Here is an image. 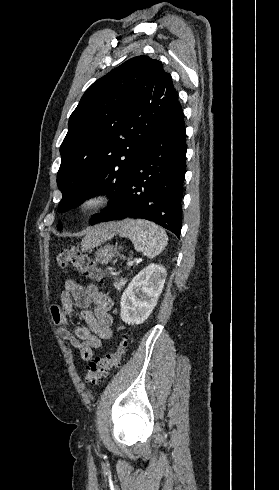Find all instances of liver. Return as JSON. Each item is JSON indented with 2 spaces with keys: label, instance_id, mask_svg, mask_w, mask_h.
<instances>
[{
  "label": "liver",
  "instance_id": "obj_1",
  "mask_svg": "<svg viewBox=\"0 0 279 490\" xmlns=\"http://www.w3.org/2000/svg\"><path fill=\"white\" fill-rule=\"evenodd\" d=\"M122 222H110V224H99L92 230H89L87 236L83 238L81 244L83 252L95 248L97 244H100L104 238H112L116 232H119Z\"/></svg>",
  "mask_w": 279,
  "mask_h": 490
}]
</instances>
